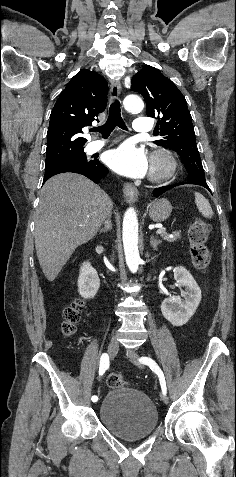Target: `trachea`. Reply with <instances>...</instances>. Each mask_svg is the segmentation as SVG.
<instances>
[{"label":"trachea","mask_w":236,"mask_h":477,"mask_svg":"<svg viewBox=\"0 0 236 477\" xmlns=\"http://www.w3.org/2000/svg\"><path fill=\"white\" fill-rule=\"evenodd\" d=\"M116 126L121 129H127L125 122L121 117L120 103L118 101H115L110 105L109 116L105 124L93 128L92 131L99 132L102 137L107 138Z\"/></svg>","instance_id":"trachea-1"}]
</instances>
